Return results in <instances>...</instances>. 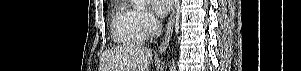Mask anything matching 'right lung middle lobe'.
Masks as SVG:
<instances>
[{
	"label": "right lung middle lobe",
	"mask_w": 301,
	"mask_h": 71,
	"mask_svg": "<svg viewBox=\"0 0 301 71\" xmlns=\"http://www.w3.org/2000/svg\"><path fill=\"white\" fill-rule=\"evenodd\" d=\"M107 5H104V8L106 9Z\"/></svg>",
	"instance_id": "right-lung-middle-lobe-1"
}]
</instances>
